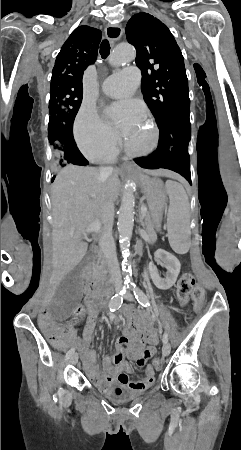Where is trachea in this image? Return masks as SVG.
<instances>
[{
  "label": "trachea",
  "instance_id": "1",
  "mask_svg": "<svg viewBox=\"0 0 241 450\" xmlns=\"http://www.w3.org/2000/svg\"><path fill=\"white\" fill-rule=\"evenodd\" d=\"M110 53V44L108 40H103L100 44V54L102 58H107Z\"/></svg>",
  "mask_w": 241,
  "mask_h": 450
}]
</instances>
